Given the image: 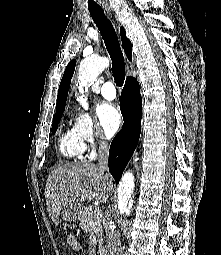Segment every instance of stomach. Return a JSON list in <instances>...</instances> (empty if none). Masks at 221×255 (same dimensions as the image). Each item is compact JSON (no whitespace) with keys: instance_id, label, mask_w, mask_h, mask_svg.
I'll return each mask as SVG.
<instances>
[{"instance_id":"0dacf381","label":"stomach","mask_w":221,"mask_h":255,"mask_svg":"<svg viewBox=\"0 0 221 255\" xmlns=\"http://www.w3.org/2000/svg\"><path fill=\"white\" fill-rule=\"evenodd\" d=\"M85 210L81 203L68 204L60 213L61 219L65 222H74L81 219Z\"/></svg>"}]
</instances>
